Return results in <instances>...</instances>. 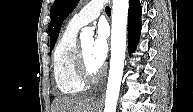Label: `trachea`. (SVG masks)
I'll return each mask as SVG.
<instances>
[{
	"instance_id": "1",
	"label": "trachea",
	"mask_w": 193,
	"mask_h": 112,
	"mask_svg": "<svg viewBox=\"0 0 193 112\" xmlns=\"http://www.w3.org/2000/svg\"><path fill=\"white\" fill-rule=\"evenodd\" d=\"M105 12H106L107 14H111V8H110L109 6H107V7L105 8Z\"/></svg>"
}]
</instances>
